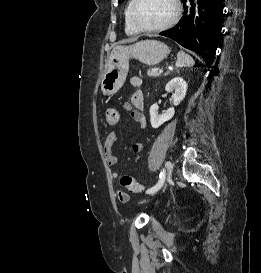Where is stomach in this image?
<instances>
[{"label":"stomach","instance_id":"1","mask_svg":"<svg viewBox=\"0 0 261 273\" xmlns=\"http://www.w3.org/2000/svg\"><path fill=\"white\" fill-rule=\"evenodd\" d=\"M169 52V47L157 40H143L130 46L114 48L108 57L101 80L103 95H113L122 87L127 77L130 59L154 66L165 59Z\"/></svg>","mask_w":261,"mask_h":273}]
</instances>
